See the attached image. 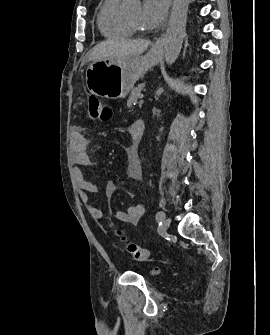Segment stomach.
<instances>
[{
	"label": "stomach",
	"instance_id": "1",
	"mask_svg": "<svg viewBox=\"0 0 270 335\" xmlns=\"http://www.w3.org/2000/svg\"><path fill=\"white\" fill-rule=\"evenodd\" d=\"M162 48H150L145 56H119L114 60H96L86 70V86L99 98H125L139 78L158 64Z\"/></svg>",
	"mask_w": 270,
	"mask_h": 335
}]
</instances>
